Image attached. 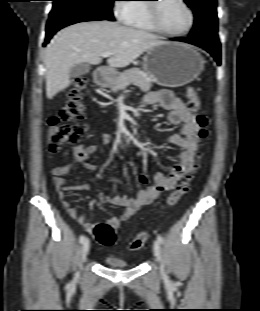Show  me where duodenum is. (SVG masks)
Listing matches in <instances>:
<instances>
[{
	"mask_svg": "<svg viewBox=\"0 0 260 311\" xmlns=\"http://www.w3.org/2000/svg\"><path fill=\"white\" fill-rule=\"evenodd\" d=\"M109 75H110L109 69L106 67H102L97 71L96 79L99 83L105 84Z\"/></svg>",
	"mask_w": 260,
	"mask_h": 311,
	"instance_id": "410a0bca",
	"label": "duodenum"
}]
</instances>
